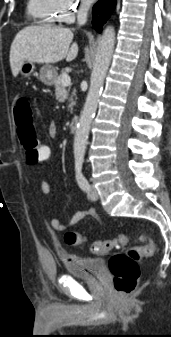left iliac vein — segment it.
Returning <instances> with one entry per match:
<instances>
[{"mask_svg":"<svg viewBox=\"0 0 171 337\" xmlns=\"http://www.w3.org/2000/svg\"><path fill=\"white\" fill-rule=\"evenodd\" d=\"M98 192L97 189L94 187V185H91L89 187V191H88V198L90 200L96 201L98 199Z\"/></svg>","mask_w":171,"mask_h":337,"instance_id":"1","label":"left iliac vein"}]
</instances>
